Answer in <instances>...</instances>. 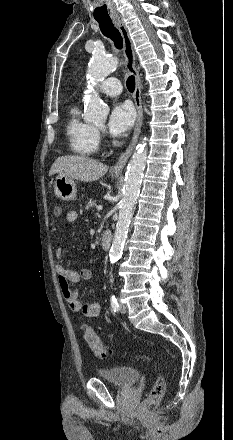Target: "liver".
Masks as SVG:
<instances>
[{
	"label": "liver",
	"mask_w": 233,
	"mask_h": 440,
	"mask_svg": "<svg viewBox=\"0 0 233 440\" xmlns=\"http://www.w3.org/2000/svg\"><path fill=\"white\" fill-rule=\"evenodd\" d=\"M108 166L84 155L58 157L49 175L60 174L82 182L97 181L106 174Z\"/></svg>",
	"instance_id": "1"
}]
</instances>
